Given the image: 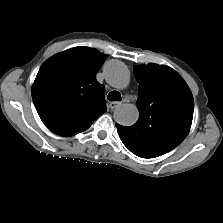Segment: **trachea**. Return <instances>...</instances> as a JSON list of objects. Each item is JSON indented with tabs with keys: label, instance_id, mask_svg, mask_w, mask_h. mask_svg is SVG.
Listing matches in <instances>:
<instances>
[{
	"label": "trachea",
	"instance_id": "1",
	"mask_svg": "<svg viewBox=\"0 0 223 223\" xmlns=\"http://www.w3.org/2000/svg\"><path fill=\"white\" fill-rule=\"evenodd\" d=\"M107 98L109 101H121V95L118 91H111Z\"/></svg>",
	"mask_w": 223,
	"mask_h": 223
}]
</instances>
